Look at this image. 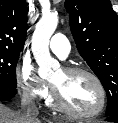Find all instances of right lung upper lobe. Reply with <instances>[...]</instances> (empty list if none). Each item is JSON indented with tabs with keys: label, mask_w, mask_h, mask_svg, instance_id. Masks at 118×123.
Masks as SVG:
<instances>
[{
	"label": "right lung upper lobe",
	"mask_w": 118,
	"mask_h": 123,
	"mask_svg": "<svg viewBox=\"0 0 118 123\" xmlns=\"http://www.w3.org/2000/svg\"><path fill=\"white\" fill-rule=\"evenodd\" d=\"M26 0H0V49L20 52L27 30Z\"/></svg>",
	"instance_id": "right-lung-upper-lobe-1"
}]
</instances>
